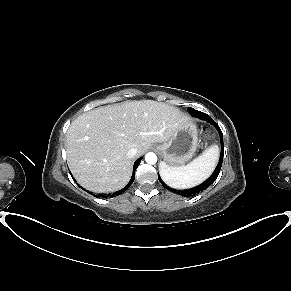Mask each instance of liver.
Instances as JSON below:
<instances>
[{"label":"liver","instance_id":"1","mask_svg":"<svg viewBox=\"0 0 291 291\" xmlns=\"http://www.w3.org/2000/svg\"><path fill=\"white\" fill-rule=\"evenodd\" d=\"M188 121L178 108L154 100L126 101L88 111L67 131L69 168L90 191L120 190L132 175L128 150L137 148L140 157L152 143L168 141Z\"/></svg>","mask_w":291,"mask_h":291}]
</instances>
